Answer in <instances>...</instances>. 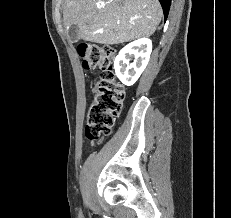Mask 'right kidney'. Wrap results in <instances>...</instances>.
<instances>
[{
	"instance_id": "1",
	"label": "right kidney",
	"mask_w": 231,
	"mask_h": 218,
	"mask_svg": "<svg viewBox=\"0 0 231 218\" xmlns=\"http://www.w3.org/2000/svg\"><path fill=\"white\" fill-rule=\"evenodd\" d=\"M151 51L152 41L148 38L131 42L120 50L114 61V69L123 84L131 86L137 81L149 62Z\"/></svg>"
}]
</instances>
